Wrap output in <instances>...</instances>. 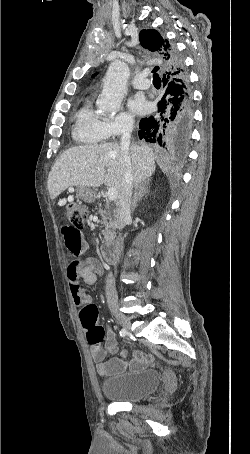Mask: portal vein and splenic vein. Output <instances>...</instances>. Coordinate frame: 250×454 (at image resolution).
<instances>
[{
    "instance_id": "1",
    "label": "portal vein and splenic vein",
    "mask_w": 250,
    "mask_h": 454,
    "mask_svg": "<svg viewBox=\"0 0 250 454\" xmlns=\"http://www.w3.org/2000/svg\"><path fill=\"white\" fill-rule=\"evenodd\" d=\"M107 196H108L109 201L116 200L117 196H118L117 190L115 188H109L108 192H107Z\"/></svg>"
}]
</instances>
